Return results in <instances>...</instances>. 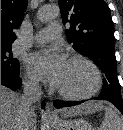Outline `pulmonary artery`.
Instances as JSON below:
<instances>
[{
	"mask_svg": "<svg viewBox=\"0 0 123 130\" xmlns=\"http://www.w3.org/2000/svg\"><path fill=\"white\" fill-rule=\"evenodd\" d=\"M61 27L59 24H51L47 28L39 31L34 37L33 41L35 43H47L54 41L60 37Z\"/></svg>",
	"mask_w": 123,
	"mask_h": 130,
	"instance_id": "e3ab8cb5",
	"label": "pulmonary artery"
}]
</instances>
